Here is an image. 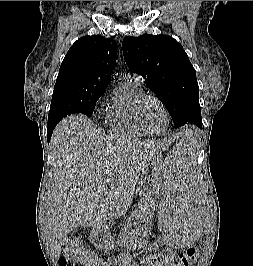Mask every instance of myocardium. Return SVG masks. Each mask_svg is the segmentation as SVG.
<instances>
[{
    "label": "myocardium",
    "instance_id": "myocardium-1",
    "mask_svg": "<svg viewBox=\"0 0 253 266\" xmlns=\"http://www.w3.org/2000/svg\"><path fill=\"white\" fill-rule=\"evenodd\" d=\"M147 100L156 101L161 106L165 114L166 126L162 132H151L147 130L141 121V116H140L141 108H142L143 103ZM133 119H134V122L137 128L146 136L160 137V136L165 135L170 128V116H169V112H168L166 105L159 97L152 95V94H143L139 98L136 99L133 105Z\"/></svg>",
    "mask_w": 253,
    "mask_h": 266
}]
</instances>
